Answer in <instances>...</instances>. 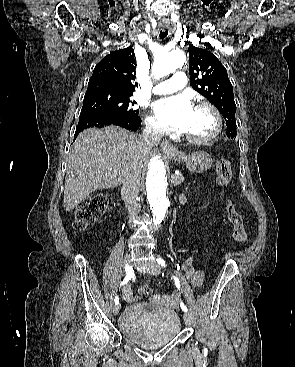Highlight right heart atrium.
<instances>
[{
	"mask_svg": "<svg viewBox=\"0 0 295 367\" xmlns=\"http://www.w3.org/2000/svg\"><path fill=\"white\" fill-rule=\"evenodd\" d=\"M145 126L149 132L157 136L163 135L167 131L165 126L151 114L146 115Z\"/></svg>",
	"mask_w": 295,
	"mask_h": 367,
	"instance_id": "1",
	"label": "right heart atrium"
}]
</instances>
